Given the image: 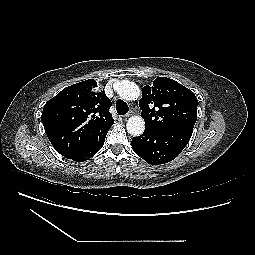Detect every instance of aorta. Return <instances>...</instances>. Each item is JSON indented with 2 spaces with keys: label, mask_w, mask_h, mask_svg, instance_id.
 Masks as SVG:
<instances>
[{
  "label": "aorta",
  "mask_w": 255,
  "mask_h": 255,
  "mask_svg": "<svg viewBox=\"0 0 255 255\" xmlns=\"http://www.w3.org/2000/svg\"><path fill=\"white\" fill-rule=\"evenodd\" d=\"M117 91L124 100H137L140 96L139 86L127 80L119 83ZM126 128L130 135L140 136L144 132L145 122L141 116H131L127 121Z\"/></svg>",
  "instance_id": "obj_1"
}]
</instances>
